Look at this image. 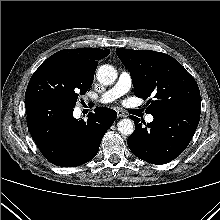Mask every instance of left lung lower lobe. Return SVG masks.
Wrapping results in <instances>:
<instances>
[{
    "mask_svg": "<svg viewBox=\"0 0 220 220\" xmlns=\"http://www.w3.org/2000/svg\"><path fill=\"white\" fill-rule=\"evenodd\" d=\"M152 115L154 120L143 122L145 126L132 117L135 131L127 143L138 158L165 164L178 157L191 141L200 120V105L165 108Z\"/></svg>",
    "mask_w": 220,
    "mask_h": 220,
    "instance_id": "1",
    "label": "left lung lower lobe"
}]
</instances>
